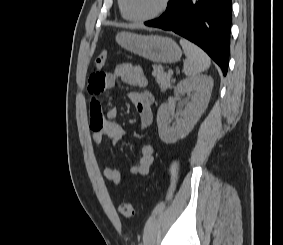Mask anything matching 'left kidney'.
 Segmentation results:
<instances>
[{
	"label": "left kidney",
	"mask_w": 283,
	"mask_h": 245,
	"mask_svg": "<svg viewBox=\"0 0 283 245\" xmlns=\"http://www.w3.org/2000/svg\"><path fill=\"white\" fill-rule=\"evenodd\" d=\"M213 79L208 75L196 76L180 81L174 89L175 96L191 95L181 118L174 120L175 103L162 104L157 113V124L160 139L167 144L175 143L188 135L205 111L213 88ZM194 92V93H193ZM173 122L172 126L170 123Z\"/></svg>",
	"instance_id": "left-kidney-1"
}]
</instances>
